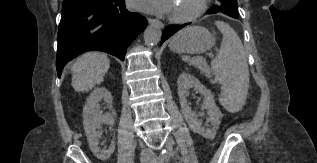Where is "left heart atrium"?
I'll list each match as a JSON object with an SVG mask.
<instances>
[{"label": "left heart atrium", "mask_w": 317, "mask_h": 163, "mask_svg": "<svg viewBox=\"0 0 317 163\" xmlns=\"http://www.w3.org/2000/svg\"><path fill=\"white\" fill-rule=\"evenodd\" d=\"M133 6L139 10L154 13L168 14L171 13L175 0H130Z\"/></svg>", "instance_id": "39dd6f15"}]
</instances>
